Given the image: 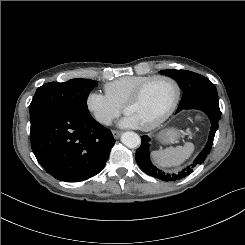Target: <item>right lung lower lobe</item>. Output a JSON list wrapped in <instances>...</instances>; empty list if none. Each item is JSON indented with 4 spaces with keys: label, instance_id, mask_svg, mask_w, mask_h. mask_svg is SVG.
Returning <instances> with one entry per match:
<instances>
[{
    "label": "right lung lower lobe",
    "instance_id": "right-lung-lower-lobe-1",
    "mask_svg": "<svg viewBox=\"0 0 245 245\" xmlns=\"http://www.w3.org/2000/svg\"><path fill=\"white\" fill-rule=\"evenodd\" d=\"M31 147L42 167L66 182L86 180L103 170L115 140L90 114L52 109L30 117Z\"/></svg>",
    "mask_w": 245,
    "mask_h": 245
}]
</instances>
